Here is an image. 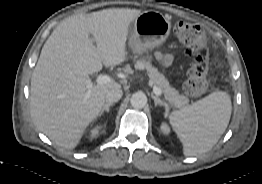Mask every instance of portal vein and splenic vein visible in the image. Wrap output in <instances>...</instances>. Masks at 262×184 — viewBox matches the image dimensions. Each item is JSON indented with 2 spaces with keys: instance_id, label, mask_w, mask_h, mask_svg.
Segmentation results:
<instances>
[{
  "instance_id": "portal-vein-and-splenic-vein-1",
  "label": "portal vein and splenic vein",
  "mask_w": 262,
  "mask_h": 184,
  "mask_svg": "<svg viewBox=\"0 0 262 184\" xmlns=\"http://www.w3.org/2000/svg\"><path fill=\"white\" fill-rule=\"evenodd\" d=\"M112 81H113V79L108 75H99L95 80V82L97 84H106V83H109V82H112ZM85 82L87 83V86L89 88L92 87L93 82L90 79H86ZM153 92L157 96H160L162 94V91L156 86L153 87Z\"/></svg>"
}]
</instances>
